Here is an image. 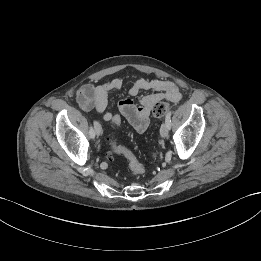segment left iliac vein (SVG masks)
<instances>
[{"mask_svg": "<svg viewBox=\"0 0 261 261\" xmlns=\"http://www.w3.org/2000/svg\"><path fill=\"white\" fill-rule=\"evenodd\" d=\"M168 133H169V125L168 123L164 122L162 125H161V128H160V134L163 138H166L168 136Z\"/></svg>", "mask_w": 261, "mask_h": 261, "instance_id": "obj_1", "label": "left iliac vein"}]
</instances>
